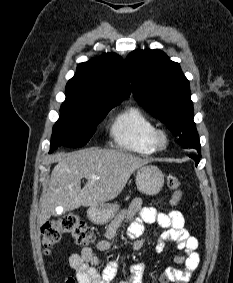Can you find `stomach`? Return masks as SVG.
<instances>
[{"label":"stomach","mask_w":233,"mask_h":283,"mask_svg":"<svg viewBox=\"0 0 233 283\" xmlns=\"http://www.w3.org/2000/svg\"><path fill=\"white\" fill-rule=\"evenodd\" d=\"M136 185L138 190L148 196L158 194L164 185L162 171L154 165H144L137 170ZM116 204L92 206L88 210L89 219L96 224L108 223L117 213Z\"/></svg>","instance_id":"1"}]
</instances>
